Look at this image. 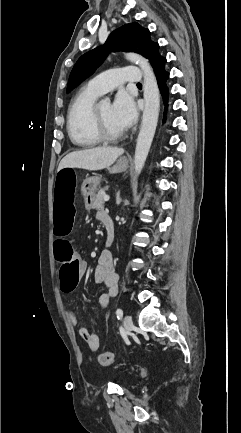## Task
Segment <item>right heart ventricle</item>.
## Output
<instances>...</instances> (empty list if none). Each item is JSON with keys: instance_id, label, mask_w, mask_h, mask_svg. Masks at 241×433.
<instances>
[{"instance_id": "1", "label": "right heart ventricle", "mask_w": 241, "mask_h": 433, "mask_svg": "<svg viewBox=\"0 0 241 433\" xmlns=\"http://www.w3.org/2000/svg\"><path fill=\"white\" fill-rule=\"evenodd\" d=\"M98 96L84 87L78 92L69 107L67 130L75 146L90 148L101 142L94 131L92 122V112Z\"/></svg>"}]
</instances>
